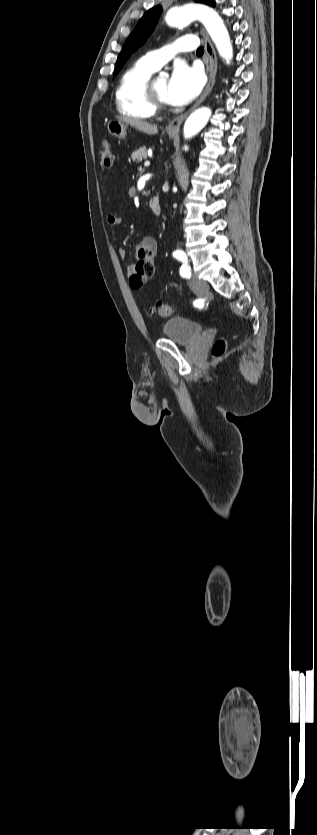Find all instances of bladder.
Listing matches in <instances>:
<instances>
[{
	"label": "bladder",
	"instance_id": "obj_1",
	"mask_svg": "<svg viewBox=\"0 0 317 835\" xmlns=\"http://www.w3.org/2000/svg\"><path fill=\"white\" fill-rule=\"evenodd\" d=\"M203 330V326L196 321L174 316L164 322L161 332L164 338L180 345H187L197 340Z\"/></svg>",
	"mask_w": 317,
	"mask_h": 835
}]
</instances>
